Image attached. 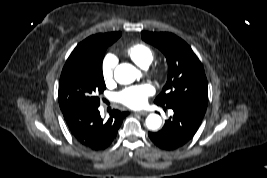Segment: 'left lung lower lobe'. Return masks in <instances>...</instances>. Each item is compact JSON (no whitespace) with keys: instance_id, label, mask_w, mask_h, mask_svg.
Segmentation results:
<instances>
[{"instance_id":"0a47b994","label":"left lung lower lobe","mask_w":267,"mask_h":178,"mask_svg":"<svg viewBox=\"0 0 267 178\" xmlns=\"http://www.w3.org/2000/svg\"><path fill=\"white\" fill-rule=\"evenodd\" d=\"M162 107L172 109L174 114L165 121L161 130L149 132L148 135L152 142L163 150L178 149L193 138L203 118L182 107Z\"/></svg>"}]
</instances>
